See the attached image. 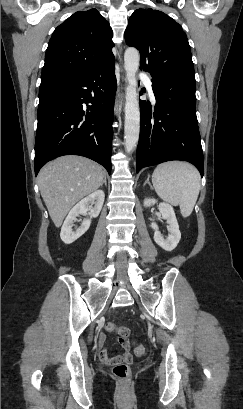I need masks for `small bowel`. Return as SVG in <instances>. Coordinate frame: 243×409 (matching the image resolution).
<instances>
[{
    "label": "small bowel",
    "instance_id": "small-bowel-1",
    "mask_svg": "<svg viewBox=\"0 0 243 409\" xmlns=\"http://www.w3.org/2000/svg\"><path fill=\"white\" fill-rule=\"evenodd\" d=\"M119 343L125 352L122 355L112 357L104 346L105 336L103 334H98L96 337V347L100 361L107 365H114L120 361L130 362L132 360V354L129 341L123 340L119 341Z\"/></svg>",
    "mask_w": 243,
    "mask_h": 409
}]
</instances>
